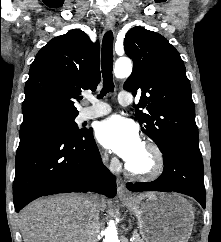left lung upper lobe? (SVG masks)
I'll list each match as a JSON object with an SVG mask.
<instances>
[{"mask_svg": "<svg viewBox=\"0 0 221 242\" xmlns=\"http://www.w3.org/2000/svg\"><path fill=\"white\" fill-rule=\"evenodd\" d=\"M126 54L133 60L124 89L143 90L136 116L161 152L173 140L198 142L195 106L190 82L179 52L162 35L137 26L124 39ZM147 93V95H146Z\"/></svg>", "mask_w": 221, "mask_h": 242, "instance_id": "left-lung-upper-lobe-1", "label": "left lung upper lobe"}]
</instances>
